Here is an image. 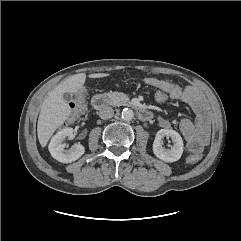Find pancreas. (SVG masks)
<instances>
[{
    "instance_id": "1",
    "label": "pancreas",
    "mask_w": 241,
    "mask_h": 241,
    "mask_svg": "<svg viewBox=\"0 0 241 241\" xmlns=\"http://www.w3.org/2000/svg\"><path fill=\"white\" fill-rule=\"evenodd\" d=\"M109 103L113 106L125 105L129 102V98L126 94L120 92H108L105 93Z\"/></svg>"
}]
</instances>
